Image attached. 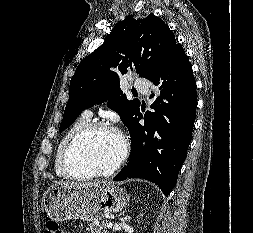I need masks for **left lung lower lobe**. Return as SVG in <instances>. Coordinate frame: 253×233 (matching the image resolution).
Masks as SVG:
<instances>
[{
	"instance_id": "left-lung-lower-lobe-1",
	"label": "left lung lower lobe",
	"mask_w": 253,
	"mask_h": 233,
	"mask_svg": "<svg viewBox=\"0 0 253 233\" xmlns=\"http://www.w3.org/2000/svg\"><path fill=\"white\" fill-rule=\"evenodd\" d=\"M150 81L152 111L143 117L140 107L129 127L131 153L114 181L147 179L165 196L174 188L191 142L197 107L196 82L184 49L176 44L161 71ZM144 118V126L139 120Z\"/></svg>"
}]
</instances>
